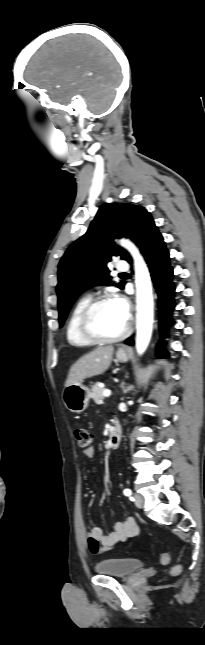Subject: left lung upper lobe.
<instances>
[{
  "label": "left lung upper lobe",
  "mask_w": 205,
  "mask_h": 645,
  "mask_svg": "<svg viewBox=\"0 0 205 645\" xmlns=\"http://www.w3.org/2000/svg\"><path fill=\"white\" fill-rule=\"evenodd\" d=\"M154 225L151 214L142 206L129 203H105L88 231L65 252L58 267V309L60 327L76 298L86 289L110 285L107 263L113 256L130 261L129 254L113 242L115 237L130 238L139 246ZM125 281L116 284L123 289Z\"/></svg>",
  "instance_id": "1"
}]
</instances>
